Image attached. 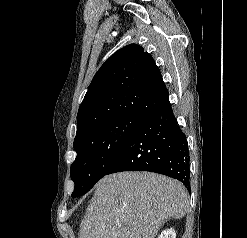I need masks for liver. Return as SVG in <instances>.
<instances>
[{
  "label": "liver",
  "mask_w": 247,
  "mask_h": 238,
  "mask_svg": "<svg viewBox=\"0 0 247 238\" xmlns=\"http://www.w3.org/2000/svg\"><path fill=\"white\" fill-rule=\"evenodd\" d=\"M188 206L184 186L164 175H108L95 185L79 238H154L166 219L183 218Z\"/></svg>",
  "instance_id": "6515ba94"
}]
</instances>
